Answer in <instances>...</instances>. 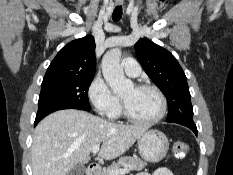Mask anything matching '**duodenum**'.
I'll return each mask as SVG.
<instances>
[{
	"mask_svg": "<svg viewBox=\"0 0 233 175\" xmlns=\"http://www.w3.org/2000/svg\"><path fill=\"white\" fill-rule=\"evenodd\" d=\"M87 175H98V167L95 164H91L87 167Z\"/></svg>",
	"mask_w": 233,
	"mask_h": 175,
	"instance_id": "410a0bca",
	"label": "duodenum"
}]
</instances>
